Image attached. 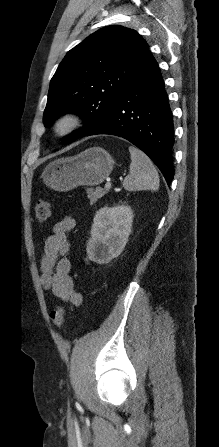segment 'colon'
Wrapping results in <instances>:
<instances>
[{
  "label": "colon",
  "mask_w": 219,
  "mask_h": 447,
  "mask_svg": "<svg viewBox=\"0 0 219 447\" xmlns=\"http://www.w3.org/2000/svg\"><path fill=\"white\" fill-rule=\"evenodd\" d=\"M50 203L46 200H39L35 206V217L38 223H45L50 216ZM66 309L63 306H56L50 312V319L57 327L63 326L66 319Z\"/></svg>",
  "instance_id": "obj_1"
}]
</instances>
